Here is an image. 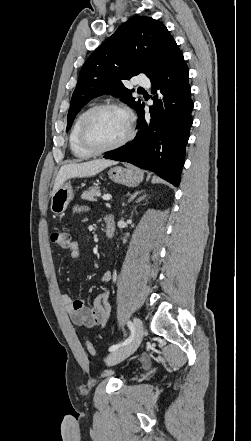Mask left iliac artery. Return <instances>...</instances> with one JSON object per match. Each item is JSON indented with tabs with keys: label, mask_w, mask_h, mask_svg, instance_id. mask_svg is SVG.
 I'll use <instances>...</instances> for the list:
<instances>
[{
	"label": "left iliac artery",
	"mask_w": 251,
	"mask_h": 441,
	"mask_svg": "<svg viewBox=\"0 0 251 441\" xmlns=\"http://www.w3.org/2000/svg\"><path fill=\"white\" fill-rule=\"evenodd\" d=\"M127 325H128V327H129V329L131 331L130 336L125 341L110 346V348H109L110 352H113V351L119 349L120 347H123V346L127 345L128 343H130L132 341L133 336H134V332H135L134 325H133V323L131 321H128Z\"/></svg>",
	"instance_id": "44dca946"
}]
</instances>
